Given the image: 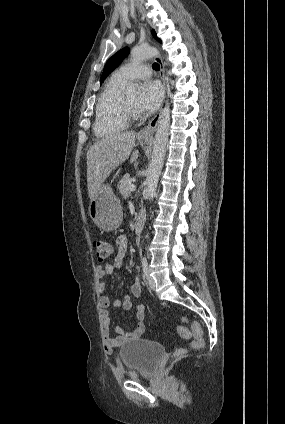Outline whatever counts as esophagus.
Segmentation results:
<instances>
[{
    "instance_id": "1",
    "label": "esophagus",
    "mask_w": 285,
    "mask_h": 424,
    "mask_svg": "<svg viewBox=\"0 0 285 424\" xmlns=\"http://www.w3.org/2000/svg\"><path fill=\"white\" fill-rule=\"evenodd\" d=\"M155 60L157 61L160 67V77L162 79L163 89L165 93L166 84H165L164 65L159 55L155 56ZM160 114H161V110L149 121V123L144 128L140 130L139 132L140 137H151L154 134L159 118H160Z\"/></svg>"
}]
</instances>
